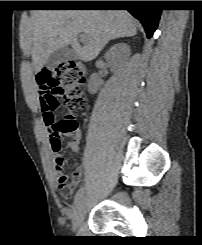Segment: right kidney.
I'll return each instance as SVG.
<instances>
[{
	"instance_id": "obj_1",
	"label": "right kidney",
	"mask_w": 202,
	"mask_h": 245,
	"mask_svg": "<svg viewBox=\"0 0 202 245\" xmlns=\"http://www.w3.org/2000/svg\"><path fill=\"white\" fill-rule=\"evenodd\" d=\"M130 54V47L127 44L118 43L106 52L105 59L113 70H118L124 65ZM102 84L103 82L99 75L96 73L92 74L88 83L89 92L95 94Z\"/></svg>"
}]
</instances>
